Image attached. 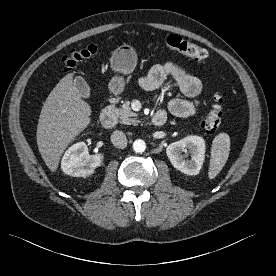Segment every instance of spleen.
<instances>
[{
	"instance_id": "3e777b00",
	"label": "spleen",
	"mask_w": 276,
	"mask_h": 276,
	"mask_svg": "<svg viewBox=\"0 0 276 276\" xmlns=\"http://www.w3.org/2000/svg\"><path fill=\"white\" fill-rule=\"evenodd\" d=\"M230 151V137L226 133L218 134L212 142L211 159L208 170L209 179H214L227 162Z\"/></svg>"
}]
</instances>
